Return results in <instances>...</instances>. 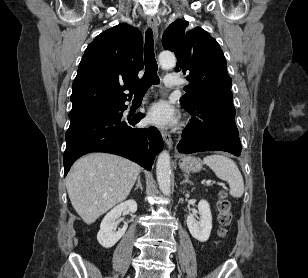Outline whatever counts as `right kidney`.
<instances>
[{
  "label": "right kidney",
  "instance_id": "obj_1",
  "mask_svg": "<svg viewBox=\"0 0 308 278\" xmlns=\"http://www.w3.org/2000/svg\"><path fill=\"white\" fill-rule=\"evenodd\" d=\"M137 210V203L134 200H128L114 207L109 213L106 214L100 224V230L97 234V240L104 248H111L117 241L124 235L127 230L128 224L118 231L115 230V222L121 216L122 212L129 211L135 213Z\"/></svg>",
  "mask_w": 308,
  "mask_h": 278
}]
</instances>
